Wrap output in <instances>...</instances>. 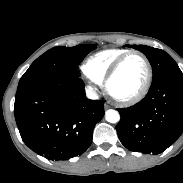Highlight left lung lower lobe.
<instances>
[{"instance_id":"obj_1","label":"left lung lower lobe","mask_w":183,"mask_h":183,"mask_svg":"<svg viewBox=\"0 0 183 183\" xmlns=\"http://www.w3.org/2000/svg\"><path fill=\"white\" fill-rule=\"evenodd\" d=\"M116 126L121 143L130 151L159 154L183 133V73L153 81L139 103L118 109Z\"/></svg>"}]
</instances>
